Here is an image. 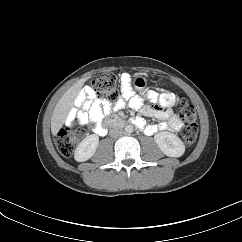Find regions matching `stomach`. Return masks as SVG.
I'll return each instance as SVG.
<instances>
[{"instance_id":"1","label":"stomach","mask_w":242,"mask_h":242,"mask_svg":"<svg viewBox=\"0 0 242 242\" xmlns=\"http://www.w3.org/2000/svg\"><path fill=\"white\" fill-rule=\"evenodd\" d=\"M145 86H146V79L142 75L136 74L134 79L135 89L142 91L144 90Z\"/></svg>"}]
</instances>
